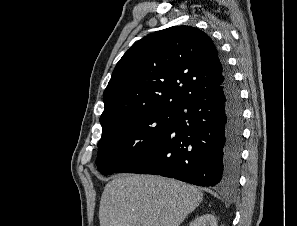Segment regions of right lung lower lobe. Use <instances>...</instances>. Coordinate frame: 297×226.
Wrapping results in <instances>:
<instances>
[{
	"label": "right lung lower lobe",
	"instance_id": "obj_1",
	"mask_svg": "<svg viewBox=\"0 0 297 226\" xmlns=\"http://www.w3.org/2000/svg\"><path fill=\"white\" fill-rule=\"evenodd\" d=\"M222 64L223 83L186 100L173 125L118 172L158 174L220 189L236 186L243 106L233 74Z\"/></svg>",
	"mask_w": 297,
	"mask_h": 226
}]
</instances>
